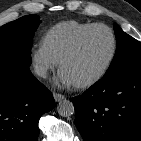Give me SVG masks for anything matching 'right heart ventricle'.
Listing matches in <instances>:
<instances>
[{
  "instance_id": "1",
  "label": "right heart ventricle",
  "mask_w": 141,
  "mask_h": 141,
  "mask_svg": "<svg viewBox=\"0 0 141 141\" xmlns=\"http://www.w3.org/2000/svg\"><path fill=\"white\" fill-rule=\"evenodd\" d=\"M93 24L95 23L79 22L76 20L58 22L44 32L40 45L58 61L77 35Z\"/></svg>"
}]
</instances>
